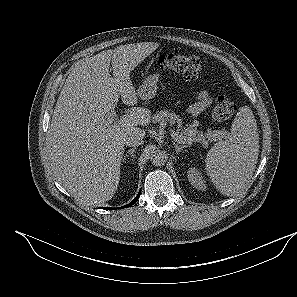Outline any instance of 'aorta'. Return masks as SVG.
<instances>
[{"label": "aorta", "instance_id": "762f6f07", "mask_svg": "<svg viewBox=\"0 0 297 297\" xmlns=\"http://www.w3.org/2000/svg\"><path fill=\"white\" fill-rule=\"evenodd\" d=\"M167 159H168L167 153L161 149H156L152 151L150 154L151 163L155 166L164 165Z\"/></svg>", "mask_w": 297, "mask_h": 297}]
</instances>
